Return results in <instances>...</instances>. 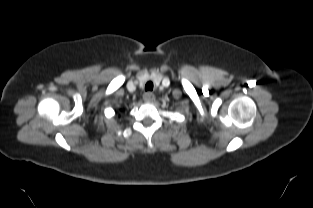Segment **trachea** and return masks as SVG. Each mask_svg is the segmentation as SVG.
Listing matches in <instances>:
<instances>
[{"label":"trachea","mask_w":313,"mask_h":208,"mask_svg":"<svg viewBox=\"0 0 313 208\" xmlns=\"http://www.w3.org/2000/svg\"><path fill=\"white\" fill-rule=\"evenodd\" d=\"M152 90H153V83L149 81L145 85V91H152Z\"/></svg>","instance_id":"1"}]
</instances>
